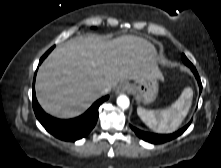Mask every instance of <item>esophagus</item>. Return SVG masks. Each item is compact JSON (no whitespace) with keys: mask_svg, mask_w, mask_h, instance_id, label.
<instances>
[{"mask_svg":"<svg viewBox=\"0 0 221 168\" xmlns=\"http://www.w3.org/2000/svg\"><path fill=\"white\" fill-rule=\"evenodd\" d=\"M130 91V85L128 84H123V85H120L117 90H116V93L117 94H122V93H126Z\"/></svg>","mask_w":221,"mask_h":168,"instance_id":"obj_1","label":"esophagus"}]
</instances>
